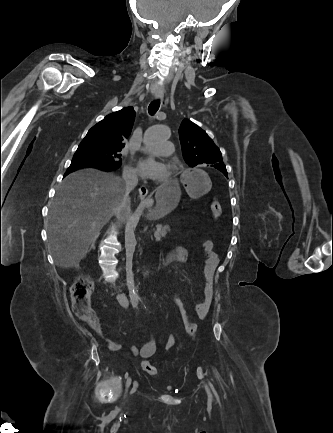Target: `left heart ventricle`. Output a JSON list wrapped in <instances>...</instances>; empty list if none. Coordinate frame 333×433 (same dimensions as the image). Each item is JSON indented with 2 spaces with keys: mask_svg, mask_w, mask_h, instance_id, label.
Returning a JSON list of instances; mask_svg holds the SVG:
<instances>
[{
  "mask_svg": "<svg viewBox=\"0 0 333 433\" xmlns=\"http://www.w3.org/2000/svg\"><path fill=\"white\" fill-rule=\"evenodd\" d=\"M153 156V158L154 159H157V160H160L161 159V157H162V155H159V154H152Z\"/></svg>",
  "mask_w": 333,
  "mask_h": 433,
  "instance_id": "1",
  "label": "left heart ventricle"
}]
</instances>
